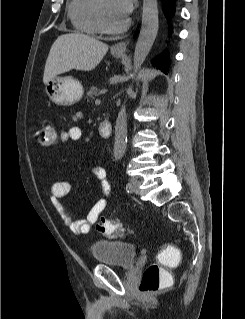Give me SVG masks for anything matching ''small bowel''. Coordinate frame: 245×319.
Segmentation results:
<instances>
[{"instance_id": "small-bowel-1", "label": "small bowel", "mask_w": 245, "mask_h": 319, "mask_svg": "<svg viewBox=\"0 0 245 319\" xmlns=\"http://www.w3.org/2000/svg\"><path fill=\"white\" fill-rule=\"evenodd\" d=\"M80 118L81 114L77 113L73 116L72 122H75ZM72 122L68 125L67 129L60 134L59 140L62 144L77 142L82 139V129L79 126L73 125ZM93 173L100 183L101 197L91 207L87 216L81 220H74L69 209L61 202V198L71 191V183L66 180H59L54 182L51 186V203L62 221L68 225L75 234L89 233L100 214L106 209L111 198V185L107 171L103 167L95 166L93 168Z\"/></svg>"}]
</instances>
